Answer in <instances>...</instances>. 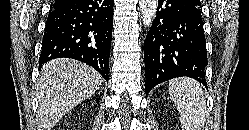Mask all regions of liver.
<instances>
[{
    "label": "liver",
    "instance_id": "6515ba94",
    "mask_svg": "<svg viewBox=\"0 0 249 130\" xmlns=\"http://www.w3.org/2000/svg\"><path fill=\"white\" fill-rule=\"evenodd\" d=\"M102 81L96 70L73 59L45 64L37 86L38 120L43 130H51L66 113L93 95Z\"/></svg>",
    "mask_w": 249,
    "mask_h": 130
}]
</instances>
